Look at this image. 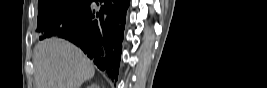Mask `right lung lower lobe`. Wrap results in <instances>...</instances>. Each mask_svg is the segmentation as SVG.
<instances>
[{"label": "right lung lower lobe", "instance_id": "right-lung-lower-lobe-1", "mask_svg": "<svg viewBox=\"0 0 267 88\" xmlns=\"http://www.w3.org/2000/svg\"><path fill=\"white\" fill-rule=\"evenodd\" d=\"M92 1L73 18L55 26L49 35L73 42L100 70L117 80L130 0H100L104 4L98 10L91 6Z\"/></svg>", "mask_w": 267, "mask_h": 88}]
</instances>
